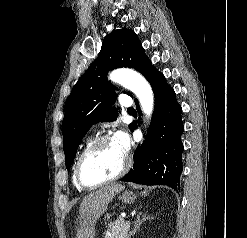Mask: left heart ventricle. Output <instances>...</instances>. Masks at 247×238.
<instances>
[{
    "mask_svg": "<svg viewBox=\"0 0 247 238\" xmlns=\"http://www.w3.org/2000/svg\"><path fill=\"white\" fill-rule=\"evenodd\" d=\"M125 153L109 140L103 143L82 167L83 178L90 183L97 182L118 173L123 167Z\"/></svg>",
    "mask_w": 247,
    "mask_h": 238,
    "instance_id": "1",
    "label": "left heart ventricle"
}]
</instances>
